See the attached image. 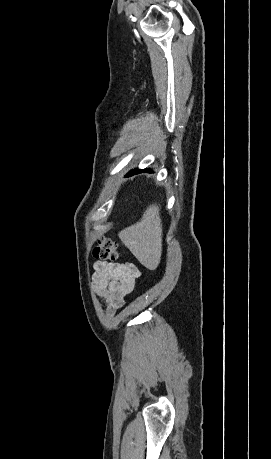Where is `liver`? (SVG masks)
Here are the masks:
<instances>
[{
    "label": "liver",
    "instance_id": "liver-1",
    "mask_svg": "<svg viewBox=\"0 0 271 459\" xmlns=\"http://www.w3.org/2000/svg\"><path fill=\"white\" fill-rule=\"evenodd\" d=\"M159 212L156 204L148 206L147 210L143 212L140 222H136L133 226L122 229L118 233L121 241L148 269H156L161 259L162 224Z\"/></svg>",
    "mask_w": 271,
    "mask_h": 459
}]
</instances>
